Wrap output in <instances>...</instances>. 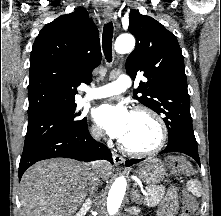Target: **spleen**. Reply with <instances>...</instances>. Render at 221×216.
<instances>
[{
	"label": "spleen",
	"mask_w": 221,
	"mask_h": 216,
	"mask_svg": "<svg viewBox=\"0 0 221 216\" xmlns=\"http://www.w3.org/2000/svg\"><path fill=\"white\" fill-rule=\"evenodd\" d=\"M199 182L197 180H192L189 183V187L191 192L196 195V196H200V191H199Z\"/></svg>",
	"instance_id": "3e777b00"
}]
</instances>
